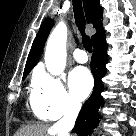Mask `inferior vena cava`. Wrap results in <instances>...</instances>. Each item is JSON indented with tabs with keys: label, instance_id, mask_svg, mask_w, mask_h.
Masks as SVG:
<instances>
[{
	"label": "inferior vena cava",
	"instance_id": "602c4592",
	"mask_svg": "<svg viewBox=\"0 0 136 136\" xmlns=\"http://www.w3.org/2000/svg\"><path fill=\"white\" fill-rule=\"evenodd\" d=\"M80 109L81 105L79 103H70L68 105L64 117L54 125L58 136H69V131L74 127Z\"/></svg>",
	"mask_w": 136,
	"mask_h": 136
}]
</instances>
